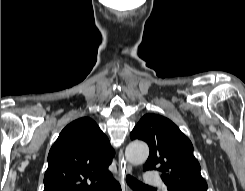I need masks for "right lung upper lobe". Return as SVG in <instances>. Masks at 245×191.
Segmentation results:
<instances>
[{
	"instance_id": "cb5924a9",
	"label": "right lung upper lobe",
	"mask_w": 245,
	"mask_h": 191,
	"mask_svg": "<svg viewBox=\"0 0 245 191\" xmlns=\"http://www.w3.org/2000/svg\"><path fill=\"white\" fill-rule=\"evenodd\" d=\"M114 150L90 118H79L59 134L48 154L44 191H97L112 182Z\"/></svg>"
}]
</instances>
